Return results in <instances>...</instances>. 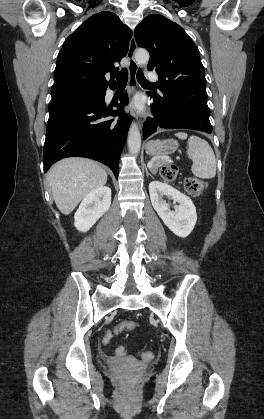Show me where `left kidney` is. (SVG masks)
Segmentation results:
<instances>
[{
	"label": "left kidney",
	"instance_id": "obj_1",
	"mask_svg": "<svg viewBox=\"0 0 264 419\" xmlns=\"http://www.w3.org/2000/svg\"><path fill=\"white\" fill-rule=\"evenodd\" d=\"M149 194L153 208L164 224L177 236L185 238L193 230L197 213L192 200L167 183L152 181L149 184ZM166 196L174 203H179L176 211L170 210V205L163 200Z\"/></svg>",
	"mask_w": 264,
	"mask_h": 419
}]
</instances>
